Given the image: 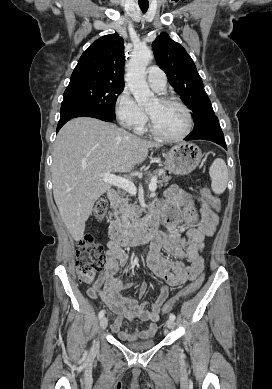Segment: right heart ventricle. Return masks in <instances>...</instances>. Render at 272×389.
Listing matches in <instances>:
<instances>
[{
	"mask_svg": "<svg viewBox=\"0 0 272 389\" xmlns=\"http://www.w3.org/2000/svg\"><path fill=\"white\" fill-rule=\"evenodd\" d=\"M146 130H147V127H146L145 124H144L141 128L137 129L136 131H137L138 133H144Z\"/></svg>",
	"mask_w": 272,
	"mask_h": 389,
	"instance_id": "e07e8e85",
	"label": "right heart ventricle"
}]
</instances>
